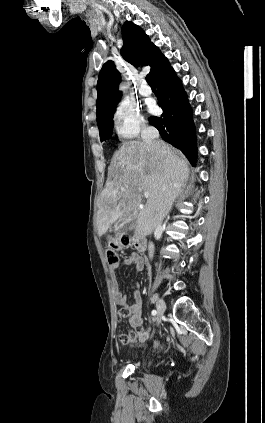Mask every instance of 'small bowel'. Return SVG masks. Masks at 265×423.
Here are the masks:
<instances>
[{"instance_id":"c3829d8e","label":"small bowel","mask_w":265,"mask_h":423,"mask_svg":"<svg viewBox=\"0 0 265 423\" xmlns=\"http://www.w3.org/2000/svg\"><path fill=\"white\" fill-rule=\"evenodd\" d=\"M133 264L136 270L143 268V259L140 255L133 253L125 258L123 261H119L116 264H112L109 267V275L111 278L112 293L115 303L121 308L120 315L127 318L129 324L133 328V331L129 334H122L120 341L122 344H131L138 338L146 339L149 337L148 332L143 328V314H142V300L140 295L139 285L137 284L133 290V302L129 303L128 296L123 295L119 289L116 273L117 271L126 265Z\"/></svg>"}]
</instances>
